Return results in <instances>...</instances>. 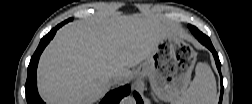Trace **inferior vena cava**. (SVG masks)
Instances as JSON below:
<instances>
[{
  "mask_svg": "<svg viewBox=\"0 0 252 104\" xmlns=\"http://www.w3.org/2000/svg\"><path fill=\"white\" fill-rule=\"evenodd\" d=\"M121 78L122 77L120 75H118V74L111 75L110 76V82L115 85L118 82H120Z\"/></svg>",
  "mask_w": 252,
  "mask_h": 104,
  "instance_id": "obj_1",
  "label": "inferior vena cava"
}]
</instances>
